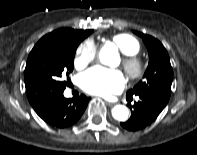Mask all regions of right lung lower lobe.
Returning <instances> with one entry per match:
<instances>
[{
  "instance_id": "98d812e1",
  "label": "right lung lower lobe",
  "mask_w": 197,
  "mask_h": 155,
  "mask_svg": "<svg viewBox=\"0 0 197 155\" xmlns=\"http://www.w3.org/2000/svg\"><path fill=\"white\" fill-rule=\"evenodd\" d=\"M89 100L90 98L84 95L67 99L61 92L34 110L49 125L56 128H67L79 120Z\"/></svg>"
}]
</instances>
